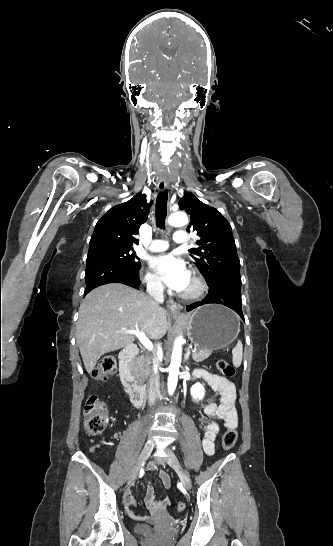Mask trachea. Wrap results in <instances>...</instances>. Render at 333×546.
<instances>
[{
    "mask_svg": "<svg viewBox=\"0 0 333 546\" xmlns=\"http://www.w3.org/2000/svg\"><path fill=\"white\" fill-rule=\"evenodd\" d=\"M167 198L168 192H161L156 200V225L161 229H165V219L167 216Z\"/></svg>",
    "mask_w": 333,
    "mask_h": 546,
    "instance_id": "trachea-1",
    "label": "trachea"
}]
</instances>
